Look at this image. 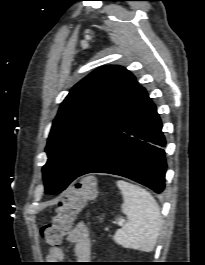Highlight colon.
<instances>
[{"mask_svg": "<svg viewBox=\"0 0 205 265\" xmlns=\"http://www.w3.org/2000/svg\"><path fill=\"white\" fill-rule=\"evenodd\" d=\"M96 196L97 182L92 176L84 177L71 187L61 200L55 215L42 227V240L49 245H58L70 231L77 214Z\"/></svg>", "mask_w": 205, "mask_h": 265, "instance_id": "5ec220e1", "label": "colon"}]
</instances>
